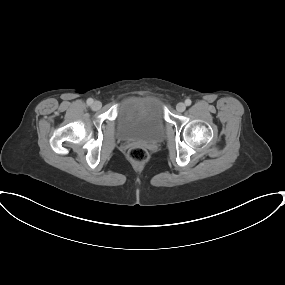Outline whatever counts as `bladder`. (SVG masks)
Segmentation results:
<instances>
[{
  "label": "bladder",
  "mask_w": 285,
  "mask_h": 285,
  "mask_svg": "<svg viewBox=\"0 0 285 285\" xmlns=\"http://www.w3.org/2000/svg\"><path fill=\"white\" fill-rule=\"evenodd\" d=\"M117 135L126 142L159 143L165 137V120L161 102L153 97L129 99L120 107Z\"/></svg>",
  "instance_id": "31cf9c89"
}]
</instances>
